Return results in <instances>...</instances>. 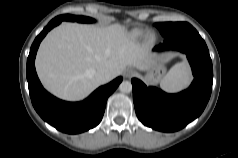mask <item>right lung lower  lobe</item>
<instances>
[{"mask_svg":"<svg viewBox=\"0 0 238 158\" xmlns=\"http://www.w3.org/2000/svg\"><path fill=\"white\" fill-rule=\"evenodd\" d=\"M63 21L54 18L34 40L27 59V80L32 104L44 121L57 130L76 134L87 131L102 120L108 97L115 91L122 77L99 87L82 102H65L49 94L41 85L35 70V57L41 40L48 31Z\"/></svg>","mask_w":238,"mask_h":158,"instance_id":"1","label":"right lung lower lobe"}]
</instances>
